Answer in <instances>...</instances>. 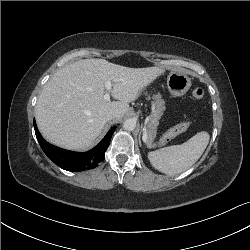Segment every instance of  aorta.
Instances as JSON below:
<instances>
[{
	"mask_svg": "<svg viewBox=\"0 0 250 250\" xmlns=\"http://www.w3.org/2000/svg\"><path fill=\"white\" fill-rule=\"evenodd\" d=\"M136 127V121L134 119H126L123 123V128L126 131H133Z\"/></svg>",
	"mask_w": 250,
	"mask_h": 250,
	"instance_id": "obj_1",
	"label": "aorta"
}]
</instances>
